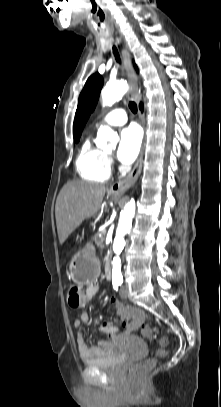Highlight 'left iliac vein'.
Masks as SVG:
<instances>
[{"label":"left iliac vein","mask_w":221,"mask_h":407,"mask_svg":"<svg viewBox=\"0 0 221 407\" xmlns=\"http://www.w3.org/2000/svg\"><path fill=\"white\" fill-rule=\"evenodd\" d=\"M120 296L122 299H127L128 298V288L127 286H123L120 290Z\"/></svg>","instance_id":"1"}]
</instances>
